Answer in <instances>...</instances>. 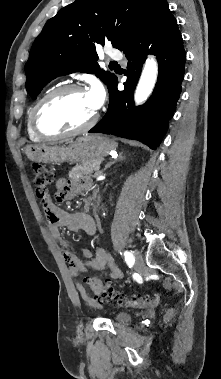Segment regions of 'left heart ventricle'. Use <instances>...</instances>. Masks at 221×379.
I'll return each mask as SVG.
<instances>
[{
    "label": "left heart ventricle",
    "mask_w": 221,
    "mask_h": 379,
    "mask_svg": "<svg viewBox=\"0 0 221 379\" xmlns=\"http://www.w3.org/2000/svg\"><path fill=\"white\" fill-rule=\"evenodd\" d=\"M85 92H71L50 102L40 116L41 127L50 133L74 129L95 113Z\"/></svg>",
    "instance_id": "b2bd125f"
}]
</instances>
